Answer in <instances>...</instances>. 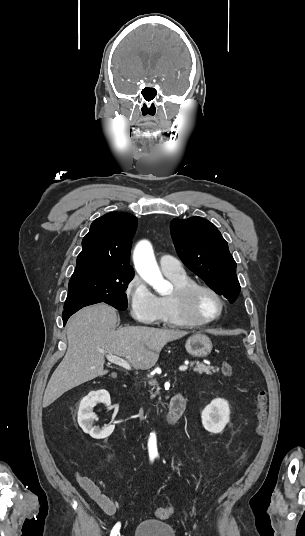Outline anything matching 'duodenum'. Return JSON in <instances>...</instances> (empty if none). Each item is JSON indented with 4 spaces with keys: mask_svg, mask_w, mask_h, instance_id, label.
Here are the masks:
<instances>
[{
    "mask_svg": "<svg viewBox=\"0 0 305 536\" xmlns=\"http://www.w3.org/2000/svg\"><path fill=\"white\" fill-rule=\"evenodd\" d=\"M185 401L181 393H177L171 399L169 410L163 420L166 427L174 425L181 417L184 411Z\"/></svg>",
    "mask_w": 305,
    "mask_h": 536,
    "instance_id": "duodenum-1",
    "label": "duodenum"
}]
</instances>
